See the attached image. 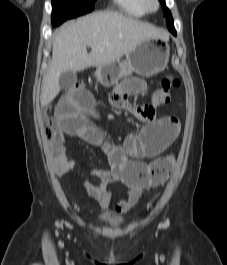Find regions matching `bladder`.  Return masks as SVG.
<instances>
[{"label":"bladder","mask_w":227,"mask_h":265,"mask_svg":"<svg viewBox=\"0 0 227 265\" xmlns=\"http://www.w3.org/2000/svg\"><path fill=\"white\" fill-rule=\"evenodd\" d=\"M106 226L109 227V228H114L115 227L114 224H106Z\"/></svg>","instance_id":"1"}]
</instances>
